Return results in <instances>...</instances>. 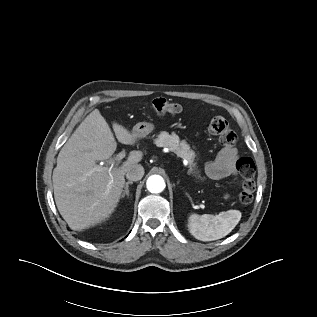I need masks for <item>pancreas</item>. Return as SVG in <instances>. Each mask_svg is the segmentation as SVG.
Segmentation results:
<instances>
[{"mask_svg": "<svg viewBox=\"0 0 317 317\" xmlns=\"http://www.w3.org/2000/svg\"><path fill=\"white\" fill-rule=\"evenodd\" d=\"M158 147H167L170 151L174 152L178 157L188 161L190 164V172L194 169L195 152L190 149V146L185 141H180L178 135L175 133L169 134L168 132H161L155 140Z\"/></svg>", "mask_w": 317, "mask_h": 317, "instance_id": "pancreas-1", "label": "pancreas"}]
</instances>
